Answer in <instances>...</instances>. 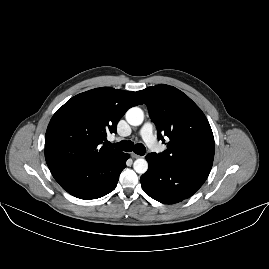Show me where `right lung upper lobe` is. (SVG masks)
I'll list each match as a JSON object with an SVG mask.
<instances>
[{
    "label": "right lung upper lobe",
    "mask_w": 269,
    "mask_h": 269,
    "mask_svg": "<svg viewBox=\"0 0 269 269\" xmlns=\"http://www.w3.org/2000/svg\"><path fill=\"white\" fill-rule=\"evenodd\" d=\"M142 104L135 92L101 87L80 93L53 115L45 135L49 169L92 162L118 152L103 146L107 132L116 133L125 112Z\"/></svg>",
    "instance_id": "1"
}]
</instances>
